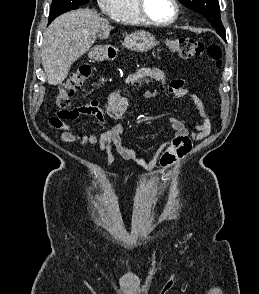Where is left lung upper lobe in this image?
Returning a JSON list of instances; mask_svg holds the SVG:
<instances>
[{
	"instance_id": "obj_1",
	"label": "left lung upper lobe",
	"mask_w": 259,
	"mask_h": 294,
	"mask_svg": "<svg viewBox=\"0 0 259 294\" xmlns=\"http://www.w3.org/2000/svg\"><path fill=\"white\" fill-rule=\"evenodd\" d=\"M184 6L195 10L202 14L211 25L216 29V32L221 36H225V29L221 22L220 8L217 0H179Z\"/></svg>"
}]
</instances>
